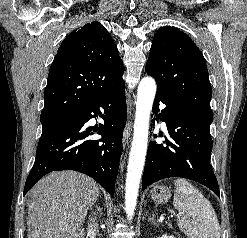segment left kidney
I'll return each mask as SVG.
<instances>
[{
    "instance_id": "obj_1",
    "label": "left kidney",
    "mask_w": 247,
    "mask_h": 238,
    "mask_svg": "<svg viewBox=\"0 0 247 238\" xmlns=\"http://www.w3.org/2000/svg\"><path fill=\"white\" fill-rule=\"evenodd\" d=\"M158 238H175L174 236H167L166 234L163 235L162 237H158Z\"/></svg>"
}]
</instances>
